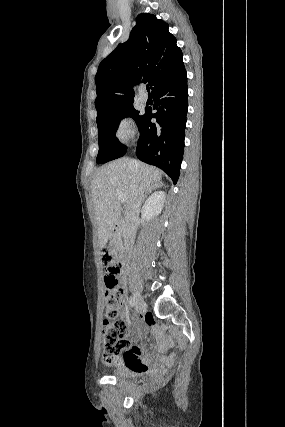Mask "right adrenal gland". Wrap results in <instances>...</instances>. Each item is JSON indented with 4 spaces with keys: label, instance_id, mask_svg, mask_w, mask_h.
I'll list each match as a JSON object with an SVG mask.
<instances>
[{
    "label": "right adrenal gland",
    "instance_id": "1",
    "mask_svg": "<svg viewBox=\"0 0 285 427\" xmlns=\"http://www.w3.org/2000/svg\"><path fill=\"white\" fill-rule=\"evenodd\" d=\"M161 187V185H154L153 187H151V188H149L147 191H146V193H145V195H144V199H143V201L147 198V196L153 191V190H156L157 188H160Z\"/></svg>",
    "mask_w": 285,
    "mask_h": 427
}]
</instances>
